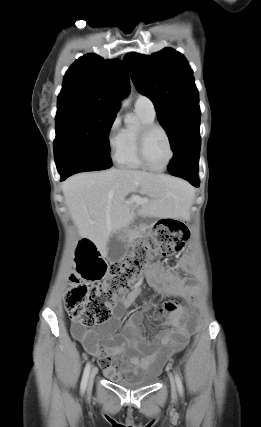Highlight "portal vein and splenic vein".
<instances>
[{"label":"portal vein and splenic vein","instance_id":"18ae733b","mask_svg":"<svg viewBox=\"0 0 261 427\" xmlns=\"http://www.w3.org/2000/svg\"><path fill=\"white\" fill-rule=\"evenodd\" d=\"M130 201L131 202H135L137 204H140V203L147 202V199L146 198H141L140 196H137V195H132Z\"/></svg>","mask_w":261,"mask_h":427}]
</instances>
